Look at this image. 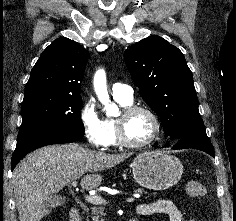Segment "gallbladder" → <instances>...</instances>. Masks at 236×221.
Listing matches in <instances>:
<instances>
[{"label":"gallbladder","instance_id":"gallbladder-1","mask_svg":"<svg viewBox=\"0 0 236 221\" xmlns=\"http://www.w3.org/2000/svg\"><path fill=\"white\" fill-rule=\"evenodd\" d=\"M64 203V198L58 195H53L48 199L47 204L51 208L61 206Z\"/></svg>","mask_w":236,"mask_h":221}]
</instances>
